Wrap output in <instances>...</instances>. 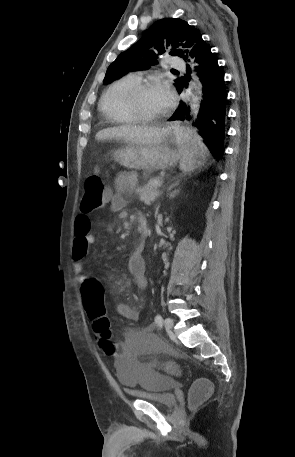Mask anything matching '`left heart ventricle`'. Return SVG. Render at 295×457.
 Listing matches in <instances>:
<instances>
[{"mask_svg": "<svg viewBox=\"0 0 295 457\" xmlns=\"http://www.w3.org/2000/svg\"><path fill=\"white\" fill-rule=\"evenodd\" d=\"M155 87L142 91L138 98L139 107L147 115L155 116L163 113L165 108L159 102L155 91Z\"/></svg>", "mask_w": 295, "mask_h": 457, "instance_id": "left-heart-ventricle-1", "label": "left heart ventricle"}]
</instances>
